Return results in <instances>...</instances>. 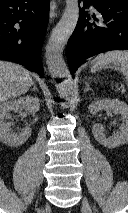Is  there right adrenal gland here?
Here are the masks:
<instances>
[{
    "instance_id": "obj_1",
    "label": "right adrenal gland",
    "mask_w": 128,
    "mask_h": 213,
    "mask_svg": "<svg viewBox=\"0 0 128 213\" xmlns=\"http://www.w3.org/2000/svg\"><path fill=\"white\" fill-rule=\"evenodd\" d=\"M32 91L33 90H36V91H38V88H37V86L35 85V83L33 82V88L31 89Z\"/></svg>"
}]
</instances>
